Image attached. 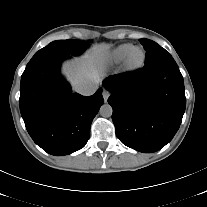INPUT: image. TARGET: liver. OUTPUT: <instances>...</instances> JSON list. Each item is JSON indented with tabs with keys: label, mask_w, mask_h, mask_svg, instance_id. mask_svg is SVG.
I'll return each instance as SVG.
<instances>
[{
	"label": "liver",
	"mask_w": 207,
	"mask_h": 207,
	"mask_svg": "<svg viewBox=\"0 0 207 207\" xmlns=\"http://www.w3.org/2000/svg\"><path fill=\"white\" fill-rule=\"evenodd\" d=\"M107 48V45L100 44L92 52L86 54V56L76 59L73 62L65 63L62 69L63 74L67 76L74 87L85 80L98 81L99 73L97 64Z\"/></svg>",
	"instance_id": "obj_1"
}]
</instances>
